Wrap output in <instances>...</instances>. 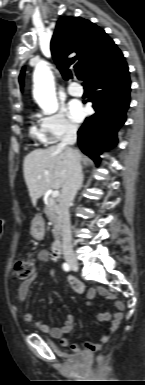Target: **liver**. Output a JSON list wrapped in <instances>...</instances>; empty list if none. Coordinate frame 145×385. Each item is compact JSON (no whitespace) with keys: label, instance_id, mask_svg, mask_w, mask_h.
I'll use <instances>...</instances> for the list:
<instances>
[{"label":"liver","instance_id":"obj_1","mask_svg":"<svg viewBox=\"0 0 145 385\" xmlns=\"http://www.w3.org/2000/svg\"><path fill=\"white\" fill-rule=\"evenodd\" d=\"M73 151L81 161L78 151ZM68 154L67 148L53 145L47 149L33 150L24 158V178L33 205L49 189L63 187L69 170Z\"/></svg>","mask_w":145,"mask_h":385}]
</instances>
